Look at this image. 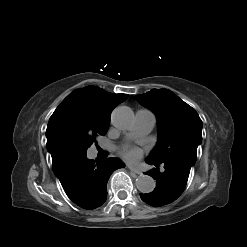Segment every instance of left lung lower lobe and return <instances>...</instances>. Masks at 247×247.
Returning a JSON list of instances; mask_svg holds the SVG:
<instances>
[{
    "mask_svg": "<svg viewBox=\"0 0 247 247\" xmlns=\"http://www.w3.org/2000/svg\"><path fill=\"white\" fill-rule=\"evenodd\" d=\"M146 162L150 165L155 164L157 168L162 164L165 170L160 172L158 169H152L145 173L156 180V188L148 194H140L141 199L157 207L176 200L185 189L191 167L179 161L156 163L147 158Z\"/></svg>",
    "mask_w": 247,
    "mask_h": 247,
    "instance_id": "left-lung-lower-lobe-1",
    "label": "left lung lower lobe"
}]
</instances>
